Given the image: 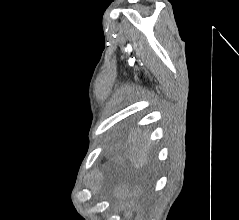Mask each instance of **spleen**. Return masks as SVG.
<instances>
[{"instance_id":"obj_1","label":"spleen","mask_w":239,"mask_h":220,"mask_svg":"<svg viewBox=\"0 0 239 220\" xmlns=\"http://www.w3.org/2000/svg\"><path fill=\"white\" fill-rule=\"evenodd\" d=\"M125 217L130 219L132 217V213L130 211L125 212Z\"/></svg>"}]
</instances>
